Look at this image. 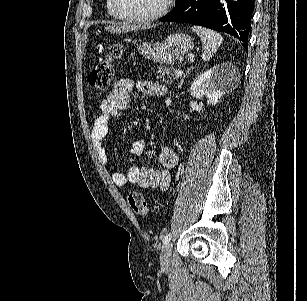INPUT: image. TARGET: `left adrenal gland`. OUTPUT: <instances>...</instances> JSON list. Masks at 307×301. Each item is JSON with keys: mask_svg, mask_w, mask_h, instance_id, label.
<instances>
[{"mask_svg": "<svg viewBox=\"0 0 307 301\" xmlns=\"http://www.w3.org/2000/svg\"><path fill=\"white\" fill-rule=\"evenodd\" d=\"M192 68H193V66H192ZM192 68H189V70H187V72H185L184 76H182L181 82L179 84V88H181V86H182V84L184 82V78H186L187 74H189V72H190V70H192Z\"/></svg>", "mask_w": 307, "mask_h": 301, "instance_id": "left-adrenal-gland-1", "label": "left adrenal gland"}]
</instances>
